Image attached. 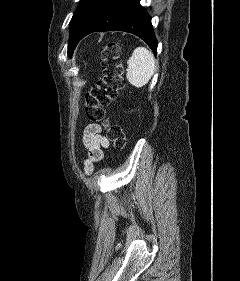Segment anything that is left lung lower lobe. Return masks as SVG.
<instances>
[{"label": "left lung lower lobe", "instance_id": "1", "mask_svg": "<svg viewBox=\"0 0 240 281\" xmlns=\"http://www.w3.org/2000/svg\"><path fill=\"white\" fill-rule=\"evenodd\" d=\"M125 31L144 40L157 53L151 17L139 0H103L80 32L77 43L92 32Z\"/></svg>", "mask_w": 240, "mask_h": 281}]
</instances>
